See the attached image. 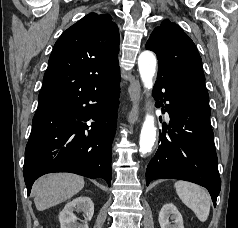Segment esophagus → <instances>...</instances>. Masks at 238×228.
Returning <instances> with one entry per match:
<instances>
[{
    "instance_id": "34e87169",
    "label": "esophagus",
    "mask_w": 238,
    "mask_h": 228,
    "mask_svg": "<svg viewBox=\"0 0 238 228\" xmlns=\"http://www.w3.org/2000/svg\"><path fill=\"white\" fill-rule=\"evenodd\" d=\"M128 93L132 102V107L128 114V122L135 124L139 119V101L141 99V85L139 80H135L129 85Z\"/></svg>"
}]
</instances>
